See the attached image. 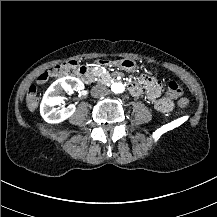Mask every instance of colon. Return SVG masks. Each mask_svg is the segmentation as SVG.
Instances as JSON below:
<instances>
[{"instance_id":"1","label":"colon","mask_w":217,"mask_h":217,"mask_svg":"<svg viewBox=\"0 0 217 217\" xmlns=\"http://www.w3.org/2000/svg\"><path fill=\"white\" fill-rule=\"evenodd\" d=\"M77 68V63L74 60H69L67 63L55 64L37 77L38 83L45 82L48 77L60 72L61 74H68ZM166 92L171 96L176 97L177 104L180 108H186L189 105V98L182 86L177 81H169L166 84ZM38 90L36 84H32L25 96V104L30 111H34L38 105Z\"/></svg>"}]
</instances>
